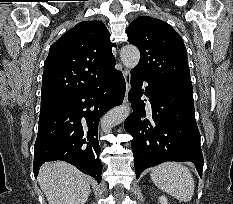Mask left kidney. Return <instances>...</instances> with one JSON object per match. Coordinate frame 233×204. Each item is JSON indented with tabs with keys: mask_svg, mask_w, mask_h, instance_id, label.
I'll return each mask as SVG.
<instances>
[{
	"mask_svg": "<svg viewBox=\"0 0 233 204\" xmlns=\"http://www.w3.org/2000/svg\"><path fill=\"white\" fill-rule=\"evenodd\" d=\"M160 204H168V199L165 196L159 197Z\"/></svg>",
	"mask_w": 233,
	"mask_h": 204,
	"instance_id": "1",
	"label": "left kidney"
}]
</instances>
